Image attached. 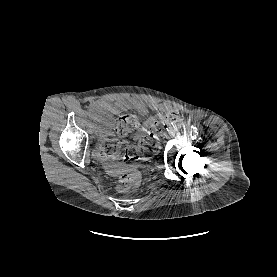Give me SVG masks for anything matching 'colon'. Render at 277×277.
Returning a JSON list of instances; mask_svg holds the SVG:
<instances>
[{
  "mask_svg": "<svg viewBox=\"0 0 277 277\" xmlns=\"http://www.w3.org/2000/svg\"><path fill=\"white\" fill-rule=\"evenodd\" d=\"M140 122L136 115L125 114L115 119L108 137L101 142L100 156L114 163H130L139 160L141 157L150 158L159 150L158 136L166 128L163 121H156L152 130L144 134L137 148L133 145L120 143L117 136L127 135L139 128ZM141 182L138 172L134 170L126 171L117 183V189L121 192L136 190Z\"/></svg>",
  "mask_w": 277,
  "mask_h": 277,
  "instance_id": "1",
  "label": "colon"
}]
</instances>
